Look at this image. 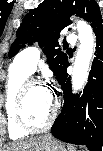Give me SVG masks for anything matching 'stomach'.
I'll return each instance as SVG.
<instances>
[{"instance_id":"1","label":"stomach","mask_w":103,"mask_h":151,"mask_svg":"<svg viewBox=\"0 0 103 151\" xmlns=\"http://www.w3.org/2000/svg\"><path fill=\"white\" fill-rule=\"evenodd\" d=\"M31 151H66V149L51 135H43L37 139Z\"/></svg>"}]
</instances>
